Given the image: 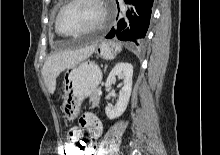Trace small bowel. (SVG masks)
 <instances>
[{"label": "small bowel", "mask_w": 220, "mask_h": 155, "mask_svg": "<svg viewBox=\"0 0 220 155\" xmlns=\"http://www.w3.org/2000/svg\"><path fill=\"white\" fill-rule=\"evenodd\" d=\"M68 129L70 131V139H83L84 130H87L92 138L97 139L101 136L103 127L101 121L96 116L91 113H86L81 117L79 121V127L69 126ZM93 154L94 148L91 146L89 155Z\"/></svg>", "instance_id": "obj_1"}]
</instances>
